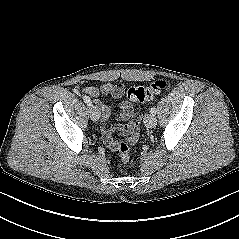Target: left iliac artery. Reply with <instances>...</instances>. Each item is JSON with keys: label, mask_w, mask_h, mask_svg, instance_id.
<instances>
[{"label": "left iliac artery", "mask_w": 239, "mask_h": 239, "mask_svg": "<svg viewBox=\"0 0 239 239\" xmlns=\"http://www.w3.org/2000/svg\"><path fill=\"white\" fill-rule=\"evenodd\" d=\"M150 113L153 114V115L156 114V108H155V106L151 107Z\"/></svg>", "instance_id": "44dca946"}]
</instances>
